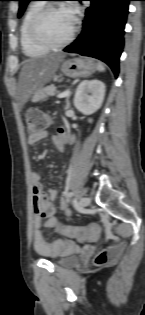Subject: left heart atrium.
Listing matches in <instances>:
<instances>
[{"label":"left heart atrium","instance_id":"39dd6f15","mask_svg":"<svg viewBox=\"0 0 145 315\" xmlns=\"http://www.w3.org/2000/svg\"><path fill=\"white\" fill-rule=\"evenodd\" d=\"M64 10L73 18V20H75V16H76V8L73 5H67Z\"/></svg>","mask_w":145,"mask_h":315}]
</instances>
